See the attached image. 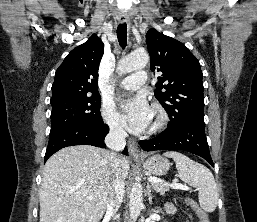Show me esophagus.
<instances>
[{"label":"esophagus","instance_id":"1","mask_svg":"<svg viewBox=\"0 0 257 222\" xmlns=\"http://www.w3.org/2000/svg\"><path fill=\"white\" fill-rule=\"evenodd\" d=\"M119 21H120V23H129L130 22L129 18L125 14H121L119 16ZM128 150H129L131 157H133V158L140 157V151H139L138 145L135 141H132V140L128 141Z\"/></svg>","mask_w":257,"mask_h":222}]
</instances>
